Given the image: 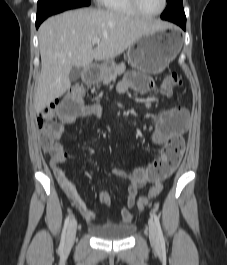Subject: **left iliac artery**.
Wrapping results in <instances>:
<instances>
[{
  "mask_svg": "<svg viewBox=\"0 0 227 265\" xmlns=\"http://www.w3.org/2000/svg\"><path fill=\"white\" fill-rule=\"evenodd\" d=\"M151 216L154 218V221H155V224H156V227L158 230L160 242H161V244H163L164 243V236H163V232H162L161 225L159 222V217L154 210L151 211Z\"/></svg>",
  "mask_w": 227,
  "mask_h": 265,
  "instance_id": "left-iliac-artery-1",
  "label": "left iliac artery"
}]
</instances>
